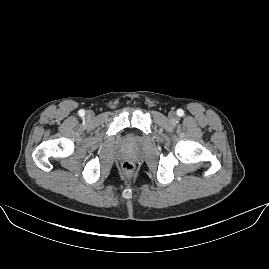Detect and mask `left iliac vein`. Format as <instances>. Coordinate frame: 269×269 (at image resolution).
<instances>
[{
  "mask_svg": "<svg viewBox=\"0 0 269 269\" xmlns=\"http://www.w3.org/2000/svg\"><path fill=\"white\" fill-rule=\"evenodd\" d=\"M169 119L171 121H175L177 116H176V113L175 112H170L169 115H168Z\"/></svg>",
  "mask_w": 269,
  "mask_h": 269,
  "instance_id": "obj_1",
  "label": "left iliac vein"
}]
</instances>
